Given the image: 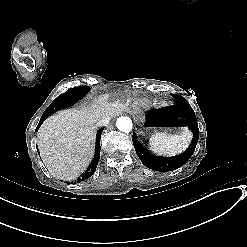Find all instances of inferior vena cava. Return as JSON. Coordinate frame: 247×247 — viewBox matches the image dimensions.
Wrapping results in <instances>:
<instances>
[{
	"label": "inferior vena cava",
	"mask_w": 247,
	"mask_h": 247,
	"mask_svg": "<svg viewBox=\"0 0 247 247\" xmlns=\"http://www.w3.org/2000/svg\"><path fill=\"white\" fill-rule=\"evenodd\" d=\"M111 118L109 116L104 117L102 119H100L97 123H96V127H103V126H107L110 122Z\"/></svg>",
	"instance_id": "obj_1"
}]
</instances>
